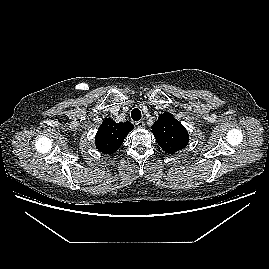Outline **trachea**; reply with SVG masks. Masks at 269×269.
Segmentation results:
<instances>
[{"label": "trachea", "mask_w": 269, "mask_h": 269, "mask_svg": "<svg viewBox=\"0 0 269 269\" xmlns=\"http://www.w3.org/2000/svg\"><path fill=\"white\" fill-rule=\"evenodd\" d=\"M131 117L134 121H138L141 119V111L138 108H135L131 112Z\"/></svg>", "instance_id": "obj_1"}]
</instances>
